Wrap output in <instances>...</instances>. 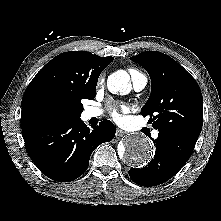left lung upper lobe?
<instances>
[{
    "instance_id": "5c2ea615",
    "label": "left lung upper lobe",
    "mask_w": 221,
    "mask_h": 221,
    "mask_svg": "<svg viewBox=\"0 0 221 221\" xmlns=\"http://www.w3.org/2000/svg\"><path fill=\"white\" fill-rule=\"evenodd\" d=\"M130 59L146 69L151 95L141 109L159 132H172L197 141L203 125V98L195 79L174 59L145 51Z\"/></svg>"
}]
</instances>
